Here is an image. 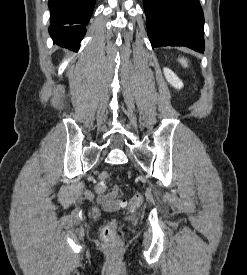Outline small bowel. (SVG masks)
I'll return each mask as SVG.
<instances>
[{
	"label": "small bowel",
	"mask_w": 247,
	"mask_h": 275,
	"mask_svg": "<svg viewBox=\"0 0 247 275\" xmlns=\"http://www.w3.org/2000/svg\"><path fill=\"white\" fill-rule=\"evenodd\" d=\"M98 194L100 195V200L104 204H106L108 207H112L113 208V207H117L118 206V202L113 199L112 195H107L105 193H100V192H98ZM120 206H123V203H120Z\"/></svg>",
	"instance_id": "c3829d8e"
}]
</instances>
